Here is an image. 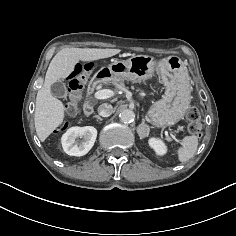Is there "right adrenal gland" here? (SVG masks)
<instances>
[{"label":"right adrenal gland","instance_id":"right-adrenal-gland-1","mask_svg":"<svg viewBox=\"0 0 236 236\" xmlns=\"http://www.w3.org/2000/svg\"><path fill=\"white\" fill-rule=\"evenodd\" d=\"M94 118H97L99 121H103V118H101L99 115H95Z\"/></svg>","mask_w":236,"mask_h":236}]
</instances>
